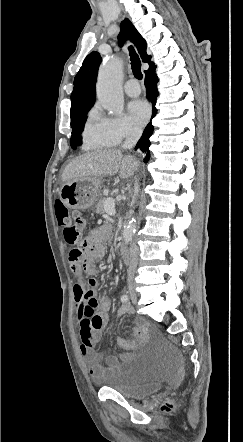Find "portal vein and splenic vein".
<instances>
[{"label":"portal vein and splenic vein","mask_w":243,"mask_h":442,"mask_svg":"<svg viewBox=\"0 0 243 442\" xmlns=\"http://www.w3.org/2000/svg\"><path fill=\"white\" fill-rule=\"evenodd\" d=\"M104 209L105 212L108 215L114 216L116 214V210H115V200H111V201H106L104 203Z\"/></svg>","instance_id":"1"}]
</instances>
